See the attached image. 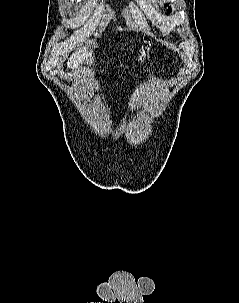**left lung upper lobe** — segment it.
<instances>
[{"label":"left lung upper lobe","instance_id":"5c2ea615","mask_svg":"<svg viewBox=\"0 0 239 303\" xmlns=\"http://www.w3.org/2000/svg\"><path fill=\"white\" fill-rule=\"evenodd\" d=\"M166 6H167V4H166ZM168 12H170V9H168Z\"/></svg>","mask_w":239,"mask_h":303}]
</instances>
